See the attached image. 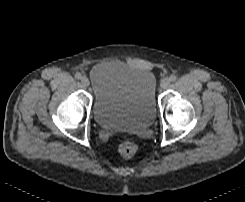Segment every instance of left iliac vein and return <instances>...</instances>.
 <instances>
[{
  "label": "left iliac vein",
  "instance_id": "1",
  "mask_svg": "<svg viewBox=\"0 0 245 202\" xmlns=\"http://www.w3.org/2000/svg\"><path fill=\"white\" fill-rule=\"evenodd\" d=\"M169 79L168 78H164L162 81H161V84H160V86H161V88L162 89H166L168 86H169Z\"/></svg>",
  "mask_w": 245,
  "mask_h": 202
}]
</instances>
